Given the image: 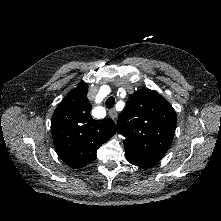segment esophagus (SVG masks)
<instances>
[{
  "label": "esophagus",
  "instance_id": "1",
  "mask_svg": "<svg viewBox=\"0 0 221 221\" xmlns=\"http://www.w3.org/2000/svg\"><path fill=\"white\" fill-rule=\"evenodd\" d=\"M109 116L115 121L117 119L118 114L115 109H111L109 111Z\"/></svg>",
  "mask_w": 221,
  "mask_h": 221
}]
</instances>
